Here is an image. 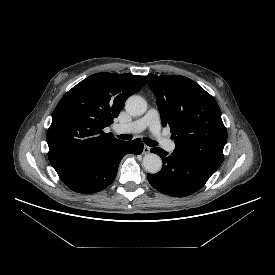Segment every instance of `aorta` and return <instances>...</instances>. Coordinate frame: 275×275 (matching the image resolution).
<instances>
[{
	"instance_id": "obj_1",
	"label": "aorta",
	"mask_w": 275,
	"mask_h": 275,
	"mask_svg": "<svg viewBox=\"0 0 275 275\" xmlns=\"http://www.w3.org/2000/svg\"><path fill=\"white\" fill-rule=\"evenodd\" d=\"M125 109L132 116H140L146 112L147 103L141 96L133 95L127 99ZM143 166L147 172L156 174L162 168V160L157 154L149 153L143 158Z\"/></svg>"
}]
</instances>
